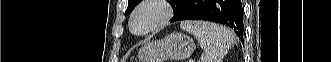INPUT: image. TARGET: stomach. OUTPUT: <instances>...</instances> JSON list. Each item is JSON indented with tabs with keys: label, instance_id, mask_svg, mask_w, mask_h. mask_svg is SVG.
Here are the masks:
<instances>
[{
	"label": "stomach",
	"instance_id": "obj_1",
	"mask_svg": "<svg viewBox=\"0 0 331 62\" xmlns=\"http://www.w3.org/2000/svg\"><path fill=\"white\" fill-rule=\"evenodd\" d=\"M195 49L192 38L182 33H171L162 40L144 45L138 54L140 62H164L165 60H184Z\"/></svg>",
	"mask_w": 331,
	"mask_h": 62
}]
</instances>
